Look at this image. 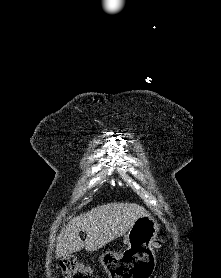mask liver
Wrapping results in <instances>:
<instances>
[{"label": "liver", "mask_w": 221, "mask_h": 278, "mask_svg": "<svg viewBox=\"0 0 221 278\" xmlns=\"http://www.w3.org/2000/svg\"><path fill=\"white\" fill-rule=\"evenodd\" d=\"M149 215L142 206L134 203H108L81 214L62 229L57 237L56 256L62 257L85 248L97 251L114 239L125 235L136 219ZM85 231L83 241L79 233Z\"/></svg>", "instance_id": "obj_1"}]
</instances>
